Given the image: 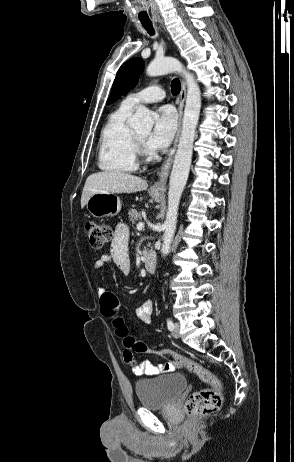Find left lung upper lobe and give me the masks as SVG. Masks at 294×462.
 <instances>
[{"instance_id": "1", "label": "left lung upper lobe", "mask_w": 294, "mask_h": 462, "mask_svg": "<svg viewBox=\"0 0 294 462\" xmlns=\"http://www.w3.org/2000/svg\"><path fill=\"white\" fill-rule=\"evenodd\" d=\"M144 67L145 63L141 58H133L125 62L117 72L107 104L113 103L121 95L128 93L138 82Z\"/></svg>"}]
</instances>
